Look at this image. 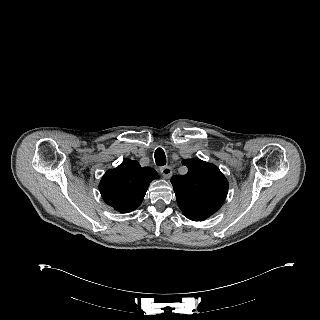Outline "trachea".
<instances>
[{"instance_id":"3493384b","label":"trachea","mask_w":320,"mask_h":320,"mask_svg":"<svg viewBox=\"0 0 320 320\" xmlns=\"http://www.w3.org/2000/svg\"><path fill=\"white\" fill-rule=\"evenodd\" d=\"M155 162L158 166L166 165V156L164 151L161 148H157L155 151Z\"/></svg>"}]
</instances>
